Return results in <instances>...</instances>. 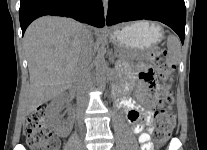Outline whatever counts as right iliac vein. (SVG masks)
Returning <instances> with one entry per match:
<instances>
[{
	"mask_svg": "<svg viewBox=\"0 0 207 150\" xmlns=\"http://www.w3.org/2000/svg\"><path fill=\"white\" fill-rule=\"evenodd\" d=\"M81 150H85V148H84V147H82V148H81Z\"/></svg>",
	"mask_w": 207,
	"mask_h": 150,
	"instance_id": "obj_1",
	"label": "right iliac vein"
}]
</instances>
